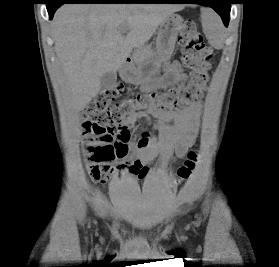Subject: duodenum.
<instances>
[{"instance_id":"obj_1","label":"duodenum","mask_w":279,"mask_h":267,"mask_svg":"<svg viewBox=\"0 0 279 267\" xmlns=\"http://www.w3.org/2000/svg\"><path fill=\"white\" fill-rule=\"evenodd\" d=\"M132 65L131 57H126L123 62V71L128 74L132 69Z\"/></svg>"}]
</instances>
